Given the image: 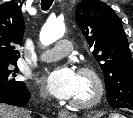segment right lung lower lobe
Listing matches in <instances>:
<instances>
[{
	"mask_svg": "<svg viewBox=\"0 0 133 118\" xmlns=\"http://www.w3.org/2000/svg\"><path fill=\"white\" fill-rule=\"evenodd\" d=\"M30 99V93L26 85H20L10 89H0V102L14 106H23Z\"/></svg>",
	"mask_w": 133,
	"mask_h": 118,
	"instance_id": "obj_1",
	"label": "right lung lower lobe"
}]
</instances>
